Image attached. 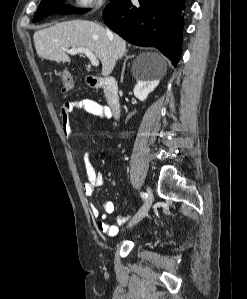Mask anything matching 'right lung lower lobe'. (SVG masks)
<instances>
[{
  "label": "right lung lower lobe",
  "mask_w": 247,
  "mask_h": 299,
  "mask_svg": "<svg viewBox=\"0 0 247 299\" xmlns=\"http://www.w3.org/2000/svg\"><path fill=\"white\" fill-rule=\"evenodd\" d=\"M185 0H131L110 2L103 19L107 26L126 41L138 46L156 47L174 66L182 44Z\"/></svg>",
  "instance_id": "98d812e1"
}]
</instances>
